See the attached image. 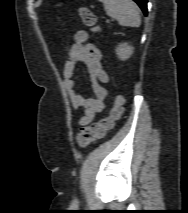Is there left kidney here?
I'll use <instances>...</instances> for the list:
<instances>
[{"label": "left kidney", "mask_w": 188, "mask_h": 213, "mask_svg": "<svg viewBox=\"0 0 188 213\" xmlns=\"http://www.w3.org/2000/svg\"><path fill=\"white\" fill-rule=\"evenodd\" d=\"M134 48L128 43H121L116 48V54L120 60H127L133 54Z\"/></svg>", "instance_id": "obj_1"}]
</instances>
